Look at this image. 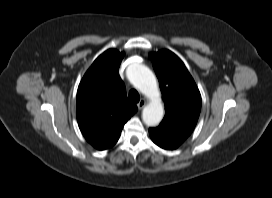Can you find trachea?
<instances>
[{
  "label": "trachea",
  "mask_w": 272,
  "mask_h": 198,
  "mask_svg": "<svg viewBox=\"0 0 272 198\" xmlns=\"http://www.w3.org/2000/svg\"><path fill=\"white\" fill-rule=\"evenodd\" d=\"M129 100L131 102H133V103L139 102V100H140L139 93L136 90H134V89L130 90L129 91Z\"/></svg>",
  "instance_id": "1"
}]
</instances>
